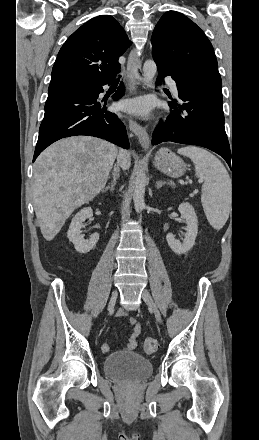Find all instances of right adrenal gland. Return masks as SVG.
I'll return each mask as SVG.
<instances>
[{"instance_id": "right-adrenal-gland-1", "label": "right adrenal gland", "mask_w": 259, "mask_h": 440, "mask_svg": "<svg viewBox=\"0 0 259 440\" xmlns=\"http://www.w3.org/2000/svg\"><path fill=\"white\" fill-rule=\"evenodd\" d=\"M115 185H116V181H115V179H113L112 183L109 184V185H107V186L105 187L104 191H108V190H110V191H114V189H115Z\"/></svg>"}]
</instances>
